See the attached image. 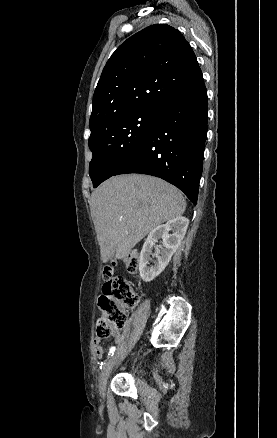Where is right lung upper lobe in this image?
I'll list each match as a JSON object with an SVG mask.
<instances>
[{
	"instance_id": "right-lung-upper-lobe-1",
	"label": "right lung upper lobe",
	"mask_w": 277,
	"mask_h": 438,
	"mask_svg": "<svg viewBox=\"0 0 277 438\" xmlns=\"http://www.w3.org/2000/svg\"><path fill=\"white\" fill-rule=\"evenodd\" d=\"M200 78L197 58L179 30L165 24L146 27L121 44L106 63L94 92L89 126L159 108L166 98Z\"/></svg>"
}]
</instances>
